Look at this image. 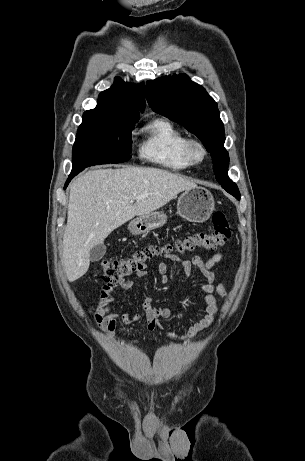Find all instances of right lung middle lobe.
I'll return each mask as SVG.
<instances>
[{
  "mask_svg": "<svg viewBox=\"0 0 305 461\" xmlns=\"http://www.w3.org/2000/svg\"><path fill=\"white\" fill-rule=\"evenodd\" d=\"M137 121L83 115L73 146V169L129 160L131 131Z\"/></svg>",
  "mask_w": 305,
  "mask_h": 461,
  "instance_id": "right-lung-middle-lobe-1",
  "label": "right lung middle lobe"
}]
</instances>
